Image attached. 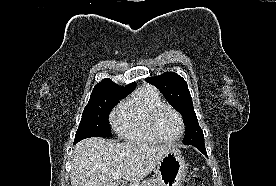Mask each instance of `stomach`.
Instances as JSON below:
<instances>
[{"instance_id":"obj_1","label":"stomach","mask_w":276,"mask_h":186,"mask_svg":"<svg viewBox=\"0 0 276 186\" xmlns=\"http://www.w3.org/2000/svg\"><path fill=\"white\" fill-rule=\"evenodd\" d=\"M162 186H180L187 173L184 158L178 149L170 151L157 165Z\"/></svg>"}]
</instances>
